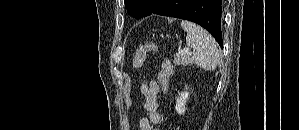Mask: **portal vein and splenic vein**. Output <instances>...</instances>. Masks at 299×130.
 I'll use <instances>...</instances> for the list:
<instances>
[{
    "instance_id": "obj_1",
    "label": "portal vein and splenic vein",
    "mask_w": 299,
    "mask_h": 130,
    "mask_svg": "<svg viewBox=\"0 0 299 130\" xmlns=\"http://www.w3.org/2000/svg\"><path fill=\"white\" fill-rule=\"evenodd\" d=\"M191 51V49L189 48H184L178 51L177 56L183 55V54H187Z\"/></svg>"
}]
</instances>
